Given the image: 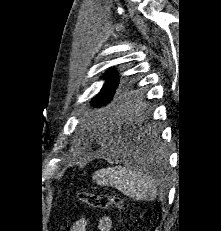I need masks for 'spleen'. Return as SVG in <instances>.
Instances as JSON below:
<instances>
[{
  "instance_id": "1",
  "label": "spleen",
  "mask_w": 221,
  "mask_h": 231,
  "mask_svg": "<svg viewBox=\"0 0 221 231\" xmlns=\"http://www.w3.org/2000/svg\"><path fill=\"white\" fill-rule=\"evenodd\" d=\"M94 179L99 184L114 186L137 201L154 200L158 195L157 187L150 177L128 163L102 169L95 173Z\"/></svg>"
}]
</instances>
